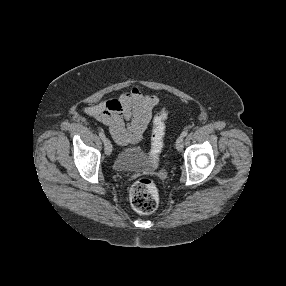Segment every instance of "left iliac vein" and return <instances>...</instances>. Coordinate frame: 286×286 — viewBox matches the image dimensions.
Wrapping results in <instances>:
<instances>
[{
	"label": "left iliac vein",
	"mask_w": 286,
	"mask_h": 286,
	"mask_svg": "<svg viewBox=\"0 0 286 286\" xmlns=\"http://www.w3.org/2000/svg\"><path fill=\"white\" fill-rule=\"evenodd\" d=\"M175 146L178 151H182L184 147V137L179 136L176 140Z\"/></svg>",
	"instance_id": "obj_1"
}]
</instances>
